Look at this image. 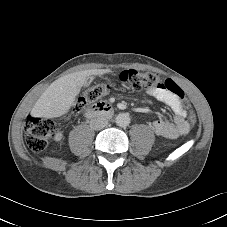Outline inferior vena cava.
I'll list each match as a JSON object with an SVG mask.
<instances>
[{"instance_id":"602c4592","label":"inferior vena cava","mask_w":227,"mask_h":227,"mask_svg":"<svg viewBox=\"0 0 227 227\" xmlns=\"http://www.w3.org/2000/svg\"><path fill=\"white\" fill-rule=\"evenodd\" d=\"M108 125V120L104 117H97L90 121V127L94 130H99Z\"/></svg>"}]
</instances>
